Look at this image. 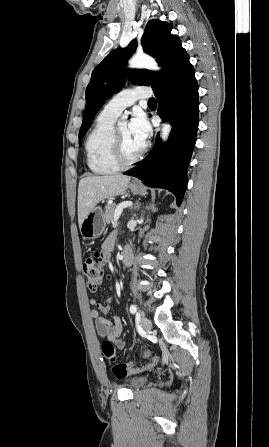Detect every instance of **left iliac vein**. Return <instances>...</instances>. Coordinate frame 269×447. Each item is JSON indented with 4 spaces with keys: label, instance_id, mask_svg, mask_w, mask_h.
I'll list each match as a JSON object with an SVG mask.
<instances>
[{
    "label": "left iliac vein",
    "instance_id": "1",
    "mask_svg": "<svg viewBox=\"0 0 269 447\" xmlns=\"http://www.w3.org/2000/svg\"><path fill=\"white\" fill-rule=\"evenodd\" d=\"M140 326L144 329L145 332L148 333L152 328V323L148 318L142 317L140 320Z\"/></svg>",
    "mask_w": 269,
    "mask_h": 447
}]
</instances>
